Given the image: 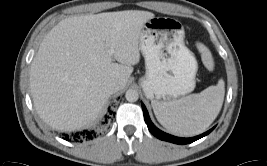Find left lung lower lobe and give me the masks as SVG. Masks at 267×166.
Wrapping results in <instances>:
<instances>
[{"instance_id":"left-lung-lower-lobe-1","label":"left lung lower lobe","mask_w":267,"mask_h":166,"mask_svg":"<svg viewBox=\"0 0 267 166\" xmlns=\"http://www.w3.org/2000/svg\"><path fill=\"white\" fill-rule=\"evenodd\" d=\"M142 109H143V114H144V119H145V122L148 126V129L149 131L154 135L156 136L157 138L161 139V140H164V141H168V142H172V143H175V144H189V143H192L206 135H208L214 128L210 129L209 131L201 134V135H198V136H195V137H192V138H180V137H176V136H173V135H170V134H167L165 132H162L161 130H159L156 126H154V124L151 122L150 118H149V115H148V112H147V109L146 107L144 106V104L142 103Z\"/></svg>"}]
</instances>
